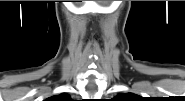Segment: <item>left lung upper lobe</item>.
<instances>
[{
  "mask_svg": "<svg viewBox=\"0 0 185 101\" xmlns=\"http://www.w3.org/2000/svg\"><path fill=\"white\" fill-rule=\"evenodd\" d=\"M135 95L132 93H126V94H118L116 99H121V101H126L125 99H131ZM124 99V100H123Z\"/></svg>",
  "mask_w": 185,
  "mask_h": 101,
  "instance_id": "5c2ea615",
  "label": "left lung upper lobe"
}]
</instances>
